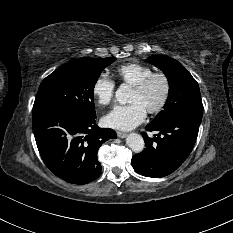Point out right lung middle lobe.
Listing matches in <instances>:
<instances>
[{
  "mask_svg": "<svg viewBox=\"0 0 233 233\" xmlns=\"http://www.w3.org/2000/svg\"><path fill=\"white\" fill-rule=\"evenodd\" d=\"M115 59H77L58 68L42 81L33 111L53 109L95 116V83L102 70Z\"/></svg>",
  "mask_w": 233,
  "mask_h": 233,
  "instance_id": "dd1d6c3e",
  "label": "right lung middle lobe"
}]
</instances>
